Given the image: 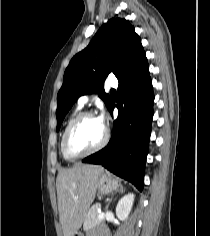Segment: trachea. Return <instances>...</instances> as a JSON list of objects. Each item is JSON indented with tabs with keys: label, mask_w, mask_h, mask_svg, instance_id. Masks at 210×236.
I'll list each match as a JSON object with an SVG mask.
<instances>
[{
	"label": "trachea",
	"mask_w": 210,
	"mask_h": 236,
	"mask_svg": "<svg viewBox=\"0 0 210 236\" xmlns=\"http://www.w3.org/2000/svg\"><path fill=\"white\" fill-rule=\"evenodd\" d=\"M110 92H116L114 89H112Z\"/></svg>",
	"instance_id": "1"
}]
</instances>
